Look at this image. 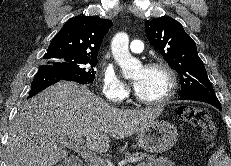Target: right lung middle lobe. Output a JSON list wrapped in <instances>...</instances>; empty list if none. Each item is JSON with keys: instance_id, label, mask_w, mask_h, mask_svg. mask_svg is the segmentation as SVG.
I'll return each instance as SVG.
<instances>
[{"instance_id": "obj_1", "label": "right lung middle lobe", "mask_w": 231, "mask_h": 166, "mask_svg": "<svg viewBox=\"0 0 231 166\" xmlns=\"http://www.w3.org/2000/svg\"><path fill=\"white\" fill-rule=\"evenodd\" d=\"M97 57L87 55H59L46 53L42 65H51L67 72L80 75L88 82L92 83L96 72Z\"/></svg>"}]
</instances>
